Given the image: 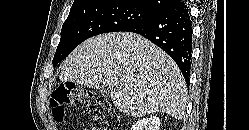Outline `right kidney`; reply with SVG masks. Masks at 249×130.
<instances>
[{"mask_svg":"<svg viewBox=\"0 0 249 130\" xmlns=\"http://www.w3.org/2000/svg\"><path fill=\"white\" fill-rule=\"evenodd\" d=\"M160 119L157 116H150L137 121L131 130H160Z\"/></svg>","mask_w":249,"mask_h":130,"instance_id":"right-kidney-1","label":"right kidney"}]
</instances>
